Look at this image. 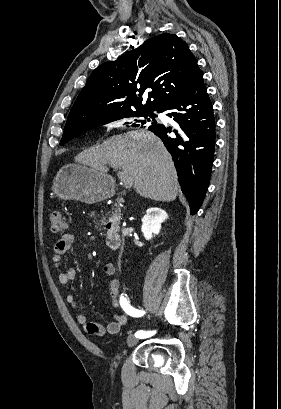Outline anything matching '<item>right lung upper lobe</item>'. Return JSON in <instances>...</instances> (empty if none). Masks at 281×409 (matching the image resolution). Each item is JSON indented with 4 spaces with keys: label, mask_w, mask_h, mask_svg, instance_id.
<instances>
[{
    "label": "right lung upper lobe",
    "mask_w": 281,
    "mask_h": 409,
    "mask_svg": "<svg viewBox=\"0 0 281 409\" xmlns=\"http://www.w3.org/2000/svg\"><path fill=\"white\" fill-rule=\"evenodd\" d=\"M200 72L197 60L181 38L174 34L150 38L91 73L65 128L84 127L123 112L159 111Z\"/></svg>",
    "instance_id": "right-lung-upper-lobe-1"
}]
</instances>
